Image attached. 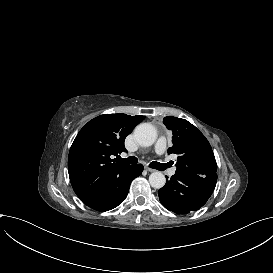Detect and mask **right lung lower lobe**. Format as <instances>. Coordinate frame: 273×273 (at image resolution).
Masks as SVG:
<instances>
[{
	"instance_id": "obj_1",
	"label": "right lung lower lobe",
	"mask_w": 273,
	"mask_h": 273,
	"mask_svg": "<svg viewBox=\"0 0 273 273\" xmlns=\"http://www.w3.org/2000/svg\"><path fill=\"white\" fill-rule=\"evenodd\" d=\"M143 171V165H132L126 171L111 177L104 193L96 200L86 204L97 211H108L120 205L127 197L132 180L138 177Z\"/></svg>"
}]
</instances>
